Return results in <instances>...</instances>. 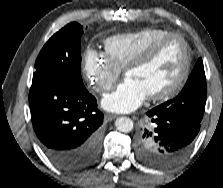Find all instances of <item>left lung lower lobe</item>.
<instances>
[{"mask_svg":"<svg viewBox=\"0 0 223 188\" xmlns=\"http://www.w3.org/2000/svg\"><path fill=\"white\" fill-rule=\"evenodd\" d=\"M154 129H141L136 137L140 160L153 167H170L189 152L200 130V122L170 116L158 107L147 112Z\"/></svg>","mask_w":223,"mask_h":188,"instance_id":"0a47b994","label":"left lung lower lobe"}]
</instances>
